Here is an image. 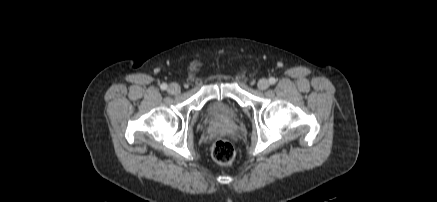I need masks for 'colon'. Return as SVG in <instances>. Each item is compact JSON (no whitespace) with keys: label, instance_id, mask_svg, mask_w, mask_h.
<instances>
[{"label":"colon","instance_id":"obj_1","mask_svg":"<svg viewBox=\"0 0 437 202\" xmlns=\"http://www.w3.org/2000/svg\"><path fill=\"white\" fill-rule=\"evenodd\" d=\"M212 158L219 164L229 165L234 161L235 150L232 144L225 138L215 139L211 148Z\"/></svg>","mask_w":437,"mask_h":202}]
</instances>
